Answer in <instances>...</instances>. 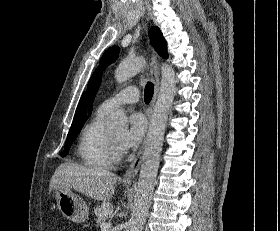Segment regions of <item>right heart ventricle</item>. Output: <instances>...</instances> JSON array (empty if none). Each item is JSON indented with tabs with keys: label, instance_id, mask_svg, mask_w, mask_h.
<instances>
[{
	"label": "right heart ventricle",
	"instance_id": "1",
	"mask_svg": "<svg viewBox=\"0 0 280 231\" xmlns=\"http://www.w3.org/2000/svg\"><path fill=\"white\" fill-rule=\"evenodd\" d=\"M105 115L106 113L98 110L79 136L76 152L86 167L106 169L111 163L110 134L103 124Z\"/></svg>",
	"mask_w": 280,
	"mask_h": 231
}]
</instances>
